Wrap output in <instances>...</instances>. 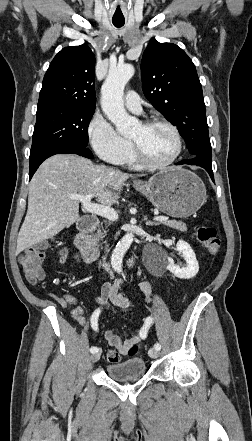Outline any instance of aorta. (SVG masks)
<instances>
[{
	"label": "aorta",
	"instance_id": "762f6f07",
	"mask_svg": "<svg viewBox=\"0 0 252 441\" xmlns=\"http://www.w3.org/2000/svg\"><path fill=\"white\" fill-rule=\"evenodd\" d=\"M133 75L134 67L131 64L118 65L109 70L101 88L102 110L124 137L130 136L138 123L136 118L127 114L123 101L124 87ZM133 238L132 233H127L115 247L111 257V265L115 271L122 272L123 257L131 246Z\"/></svg>",
	"mask_w": 252,
	"mask_h": 441
}]
</instances>
